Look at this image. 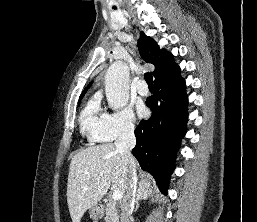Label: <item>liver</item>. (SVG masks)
I'll return each mask as SVG.
<instances>
[{"instance_id": "obj_1", "label": "liver", "mask_w": 257, "mask_h": 222, "mask_svg": "<svg viewBox=\"0 0 257 222\" xmlns=\"http://www.w3.org/2000/svg\"><path fill=\"white\" fill-rule=\"evenodd\" d=\"M99 178V179H98ZM150 180L140 187L150 189ZM129 186L128 163L113 143L88 147L71 160L67 204L72 222H80L85 211L102 199L108 189L127 194Z\"/></svg>"}]
</instances>
